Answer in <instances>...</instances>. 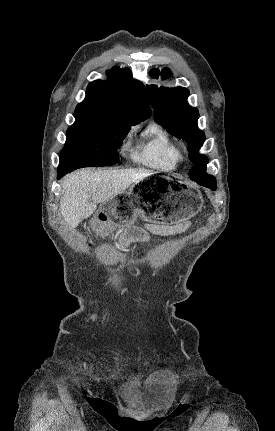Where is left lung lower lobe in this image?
<instances>
[{
	"mask_svg": "<svg viewBox=\"0 0 275 431\" xmlns=\"http://www.w3.org/2000/svg\"><path fill=\"white\" fill-rule=\"evenodd\" d=\"M190 178L198 183L199 185L205 186L207 188H210L211 190H216V181L215 178L212 175L208 174H189Z\"/></svg>",
	"mask_w": 275,
	"mask_h": 431,
	"instance_id": "1",
	"label": "left lung lower lobe"
}]
</instances>
